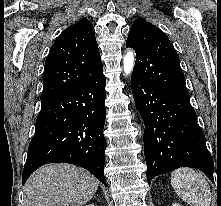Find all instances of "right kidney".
<instances>
[{
    "instance_id": "ca27d5eb",
    "label": "right kidney",
    "mask_w": 221,
    "mask_h": 206,
    "mask_svg": "<svg viewBox=\"0 0 221 206\" xmlns=\"http://www.w3.org/2000/svg\"><path fill=\"white\" fill-rule=\"evenodd\" d=\"M86 206H94L93 204H89V205H86Z\"/></svg>"
}]
</instances>
